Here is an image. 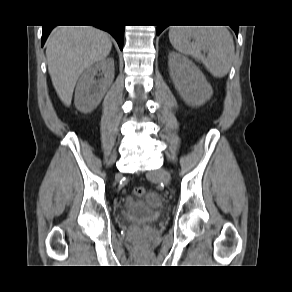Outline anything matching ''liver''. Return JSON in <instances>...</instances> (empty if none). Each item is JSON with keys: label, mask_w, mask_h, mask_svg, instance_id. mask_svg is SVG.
<instances>
[{"label": "liver", "mask_w": 292, "mask_h": 292, "mask_svg": "<svg viewBox=\"0 0 292 292\" xmlns=\"http://www.w3.org/2000/svg\"><path fill=\"white\" fill-rule=\"evenodd\" d=\"M48 71L60 98L70 106L82 72L105 59L111 51L109 35L91 26H58L46 42Z\"/></svg>", "instance_id": "1"}]
</instances>
